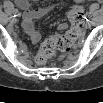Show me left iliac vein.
<instances>
[{
  "instance_id": "obj_1",
  "label": "left iliac vein",
  "mask_w": 103,
  "mask_h": 103,
  "mask_svg": "<svg viewBox=\"0 0 103 103\" xmlns=\"http://www.w3.org/2000/svg\"><path fill=\"white\" fill-rule=\"evenodd\" d=\"M90 27H91V22L90 21L86 22L85 23V28H90Z\"/></svg>"
}]
</instances>
